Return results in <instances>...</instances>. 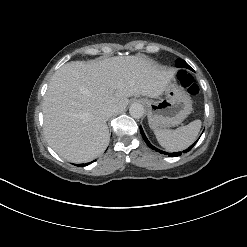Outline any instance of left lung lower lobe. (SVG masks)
<instances>
[{
	"label": "left lung lower lobe",
	"mask_w": 247,
	"mask_h": 247,
	"mask_svg": "<svg viewBox=\"0 0 247 247\" xmlns=\"http://www.w3.org/2000/svg\"><path fill=\"white\" fill-rule=\"evenodd\" d=\"M140 132H141V135H142L144 141L146 142V144H147L151 149H154V150H156V151H159V153H162V154H166V155L168 154V155L171 156V157H177V156H180V155H181L182 152L167 153V152H164V151H162V150L157 149L156 147H154V146L149 142V140L147 139V137H146V135H145V133H144V131H143V129H142L141 126H140ZM196 142H197V141H196ZM196 142H195L194 144H192L188 149L184 150L183 152L189 151V150L196 144Z\"/></svg>",
	"instance_id": "1"
}]
</instances>
